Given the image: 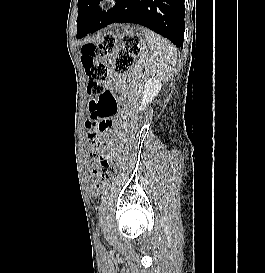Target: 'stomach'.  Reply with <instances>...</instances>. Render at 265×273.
<instances>
[{"label": "stomach", "instance_id": "obj_1", "mask_svg": "<svg viewBox=\"0 0 265 273\" xmlns=\"http://www.w3.org/2000/svg\"><path fill=\"white\" fill-rule=\"evenodd\" d=\"M111 34L117 35V30H125L129 34H134L135 30H142V25H111Z\"/></svg>", "mask_w": 265, "mask_h": 273}]
</instances>
